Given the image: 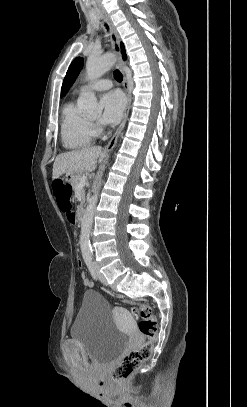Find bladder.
<instances>
[{
  "instance_id": "1",
  "label": "bladder",
  "mask_w": 247,
  "mask_h": 407,
  "mask_svg": "<svg viewBox=\"0 0 247 407\" xmlns=\"http://www.w3.org/2000/svg\"><path fill=\"white\" fill-rule=\"evenodd\" d=\"M113 307L98 292L87 290L72 325V341L97 362L112 360L128 342V334L113 320Z\"/></svg>"
}]
</instances>
